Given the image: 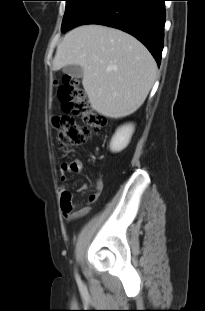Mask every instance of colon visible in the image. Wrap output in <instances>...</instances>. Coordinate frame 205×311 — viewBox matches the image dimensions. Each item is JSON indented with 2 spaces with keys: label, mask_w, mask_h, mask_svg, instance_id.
<instances>
[{
  "label": "colon",
  "mask_w": 205,
  "mask_h": 311,
  "mask_svg": "<svg viewBox=\"0 0 205 311\" xmlns=\"http://www.w3.org/2000/svg\"><path fill=\"white\" fill-rule=\"evenodd\" d=\"M56 98L65 112L64 115L55 116L53 119L59 130L61 148L75 149L104 127V118L92 110L77 79L65 76L57 85ZM75 117L79 118L81 123H78Z\"/></svg>",
  "instance_id": "colon-1"
}]
</instances>
